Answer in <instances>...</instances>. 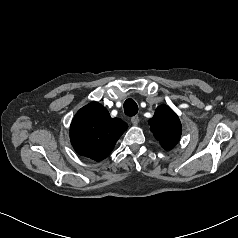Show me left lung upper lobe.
<instances>
[{"label": "left lung upper lobe", "mask_w": 238, "mask_h": 238, "mask_svg": "<svg viewBox=\"0 0 238 238\" xmlns=\"http://www.w3.org/2000/svg\"><path fill=\"white\" fill-rule=\"evenodd\" d=\"M152 132L166 150L172 149L180 140L181 122L177 114L168 106H159L149 120Z\"/></svg>", "instance_id": "5c2ea615"}]
</instances>
